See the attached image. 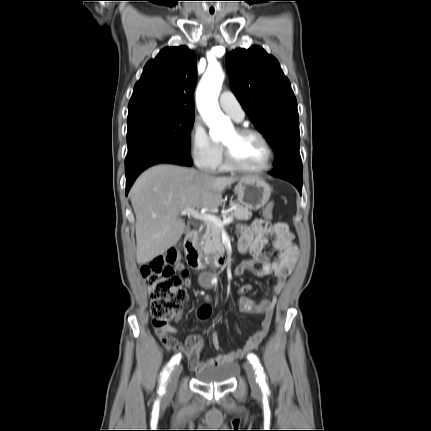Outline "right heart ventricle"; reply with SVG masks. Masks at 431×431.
Wrapping results in <instances>:
<instances>
[{"label": "right heart ventricle", "instance_id": "1", "mask_svg": "<svg viewBox=\"0 0 431 431\" xmlns=\"http://www.w3.org/2000/svg\"><path fill=\"white\" fill-rule=\"evenodd\" d=\"M217 169L220 171H228L230 170V168L226 165V163L224 161H222V159L220 160Z\"/></svg>", "mask_w": 431, "mask_h": 431}]
</instances>
